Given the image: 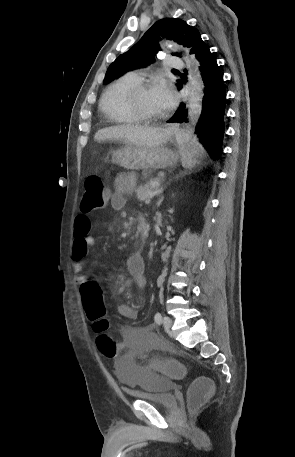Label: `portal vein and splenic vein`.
Segmentation results:
<instances>
[{"instance_id":"1","label":"portal vein and splenic vein","mask_w":295,"mask_h":457,"mask_svg":"<svg viewBox=\"0 0 295 457\" xmlns=\"http://www.w3.org/2000/svg\"><path fill=\"white\" fill-rule=\"evenodd\" d=\"M152 186H153L154 188H158V187L160 186V184H159V182H154V183L152 184Z\"/></svg>"}]
</instances>
